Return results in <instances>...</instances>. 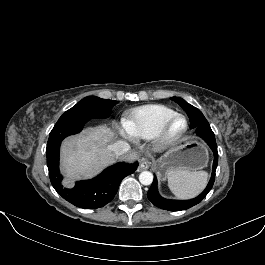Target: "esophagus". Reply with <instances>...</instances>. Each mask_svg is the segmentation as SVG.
<instances>
[{
	"instance_id": "obj_1",
	"label": "esophagus",
	"mask_w": 265,
	"mask_h": 265,
	"mask_svg": "<svg viewBox=\"0 0 265 265\" xmlns=\"http://www.w3.org/2000/svg\"><path fill=\"white\" fill-rule=\"evenodd\" d=\"M151 163H152L151 160L147 158L141 159L138 171L148 169Z\"/></svg>"
}]
</instances>
